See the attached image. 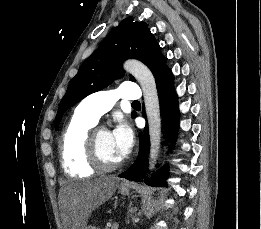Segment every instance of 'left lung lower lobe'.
Wrapping results in <instances>:
<instances>
[{
    "label": "left lung lower lobe",
    "mask_w": 261,
    "mask_h": 229,
    "mask_svg": "<svg viewBox=\"0 0 261 229\" xmlns=\"http://www.w3.org/2000/svg\"><path fill=\"white\" fill-rule=\"evenodd\" d=\"M155 80L163 117L162 122L165 126L163 129L167 133L166 138L169 142L174 143L178 134L179 109L177 95L173 85V75L167 68L159 73ZM143 116L145 117L144 112ZM139 142L140 150L136 161L129 167V169L119 174V177L138 182H140L142 178H145L146 154L149 150V141L146 129L144 130V134H139ZM167 177L168 167H163L153 174L151 178H145V182L151 186H164L167 185Z\"/></svg>",
    "instance_id": "left-lung-lower-lobe-1"
}]
</instances>
